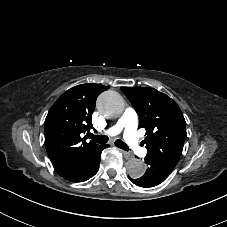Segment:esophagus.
Listing matches in <instances>:
<instances>
[{"label":"esophagus","instance_id":"obj_1","mask_svg":"<svg viewBox=\"0 0 227 227\" xmlns=\"http://www.w3.org/2000/svg\"><path fill=\"white\" fill-rule=\"evenodd\" d=\"M123 154V156L126 158V159H132L134 156L130 153V152H126L124 150H120Z\"/></svg>","mask_w":227,"mask_h":227}]
</instances>
